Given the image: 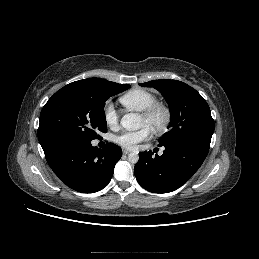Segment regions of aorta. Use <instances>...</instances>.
I'll return each instance as SVG.
<instances>
[{
    "instance_id": "obj_1",
    "label": "aorta",
    "mask_w": 259,
    "mask_h": 259,
    "mask_svg": "<svg viewBox=\"0 0 259 259\" xmlns=\"http://www.w3.org/2000/svg\"><path fill=\"white\" fill-rule=\"evenodd\" d=\"M141 117L137 113L125 114L121 119V125L128 131H135L141 128ZM139 155L136 152H132L128 155V161L130 163H137Z\"/></svg>"
}]
</instances>
